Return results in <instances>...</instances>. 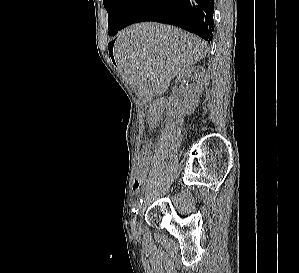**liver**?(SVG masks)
Segmentation results:
<instances>
[{
  "label": "liver",
  "mask_w": 299,
  "mask_h": 273,
  "mask_svg": "<svg viewBox=\"0 0 299 273\" xmlns=\"http://www.w3.org/2000/svg\"><path fill=\"white\" fill-rule=\"evenodd\" d=\"M207 43L181 29L138 23L122 30L114 44L118 69L145 102L162 95L171 80L203 59Z\"/></svg>",
  "instance_id": "1"
}]
</instances>
